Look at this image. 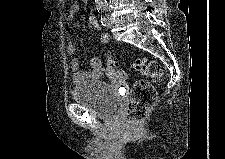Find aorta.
<instances>
[{
    "instance_id": "obj_1",
    "label": "aorta",
    "mask_w": 225,
    "mask_h": 159,
    "mask_svg": "<svg viewBox=\"0 0 225 159\" xmlns=\"http://www.w3.org/2000/svg\"><path fill=\"white\" fill-rule=\"evenodd\" d=\"M95 3H96V6H98V7H106L107 6V0H96Z\"/></svg>"
}]
</instances>
